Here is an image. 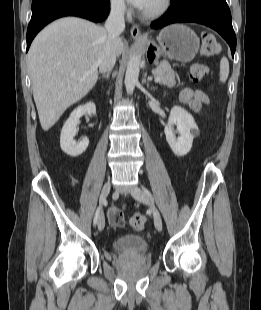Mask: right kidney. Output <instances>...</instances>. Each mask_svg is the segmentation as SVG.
Segmentation results:
<instances>
[{
	"mask_svg": "<svg viewBox=\"0 0 261 310\" xmlns=\"http://www.w3.org/2000/svg\"><path fill=\"white\" fill-rule=\"evenodd\" d=\"M96 106L93 102L80 105L71 113L70 117L64 123L60 136V146L64 153L75 157L81 155L89 145V139L84 138L80 142H76L74 137L78 130L76 129L79 118L85 114L95 115Z\"/></svg>",
	"mask_w": 261,
	"mask_h": 310,
	"instance_id": "right-kidney-1",
	"label": "right kidney"
}]
</instances>
